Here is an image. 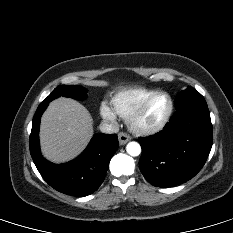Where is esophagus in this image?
Returning a JSON list of instances; mask_svg holds the SVG:
<instances>
[{
    "label": "esophagus",
    "mask_w": 233,
    "mask_h": 233,
    "mask_svg": "<svg viewBox=\"0 0 233 233\" xmlns=\"http://www.w3.org/2000/svg\"><path fill=\"white\" fill-rule=\"evenodd\" d=\"M118 139H119L120 145H124V144H126L128 141L131 140V137H130L128 134L124 133V132H120V133L118 134Z\"/></svg>",
    "instance_id": "1"
}]
</instances>
